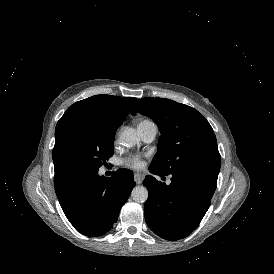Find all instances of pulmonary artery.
Segmentation results:
<instances>
[{"label":"pulmonary artery","instance_id":"1","mask_svg":"<svg viewBox=\"0 0 274 274\" xmlns=\"http://www.w3.org/2000/svg\"><path fill=\"white\" fill-rule=\"evenodd\" d=\"M138 134L140 138L146 142L151 143L154 141L157 135V126L150 120H143L139 123L137 127ZM170 182V180H168Z\"/></svg>","mask_w":274,"mask_h":274}]
</instances>
